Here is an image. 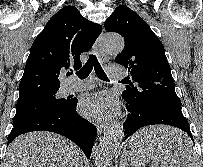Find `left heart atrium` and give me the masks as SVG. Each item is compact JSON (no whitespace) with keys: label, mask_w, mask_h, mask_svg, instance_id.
Instances as JSON below:
<instances>
[{"label":"left heart atrium","mask_w":203,"mask_h":167,"mask_svg":"<svg viewBox=\"0 0 203 167\" xmlns=\"http://www.w3.org/2000/svg\"><path fill=\"white\" fill-rule=\"evenodd\" d=\"M80 112L97 120H109L118 112L116 99L107 92H99L84 97L79 106Z\"/></svg>","instance_id":"obj_1"}]
</instances>
